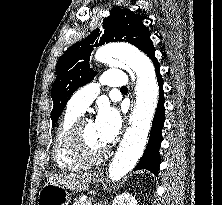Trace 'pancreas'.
Wrapping results in <instances>:
<instances>
[{"mask_svg":"<svg viewBox=\"0 0 222 205\" xmlns=\"http://www.w3.org/2000/svg\"><path fill=\"white\" fill-rule=\"evenodd\" d=\"M74 205H92V199L82 200L79 198Z\"/></svg>","mask_w":222,"mask_h":205,"instance_id":"pancreas-1","label":"pancreas"}]
</instances>
